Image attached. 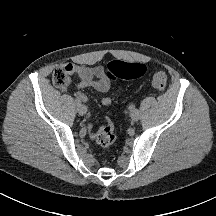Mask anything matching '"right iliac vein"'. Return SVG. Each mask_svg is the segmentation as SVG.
Listing matches in <instances>:
<instances>
[{
	"label": "right iliac vein",
	"instance_id": "1",
	"mask_svg": "<svg viewBox=\"0 0 216 216\" xmlns=\"http://www.w3.org/2000/svg\"><path fill=\"white\" fill-rule=\"evenodd\" d=\"M77 112L80 114V115H85L87 113V107L83 104H80L78 105L77 107Z\"/></svg>",
	"mask_w": 216,
	"mask_h": 216
}]
</instances>
